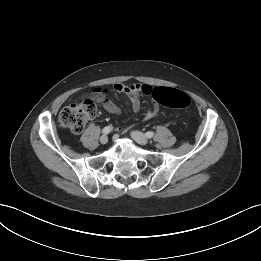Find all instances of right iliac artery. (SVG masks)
I'll return each instance as SVG.
<instances>
[{
	"label": "right iliac artery",
	"instance_id": "82829eb1",
	"mask_svg": "<svg viewBox=\"0 0 261 261\" xmlns=\"http://www.w3.org/2000/svg\"><path fill=\"white\" fill-rule=\"evenodd\" d=\"M112 128H113L112 126H106V127L103 128L102 133L108 134V133L111 132Z\"/></svg>",
	"mask_w": 261,
	"mask_h": 261
}]
</instances>
